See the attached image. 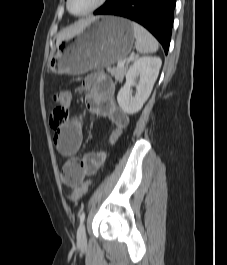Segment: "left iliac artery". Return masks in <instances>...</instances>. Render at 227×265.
<instances>
[{"mask_svg": "<svg viewBox=\"0 0 227 265\" xmlns=\"http://www.w3.org/2000/svg\"><path fill=\"white\" fill-rule=\"evenodd\" d=\"M79 218H80V225H81L85 219V213L81 212V214L79 215Z\"/></svg>", "mask_w": 227, "mask_h": 265, "instance_id": "obj_1", "label": "left iliac artery"}]
</instances>
